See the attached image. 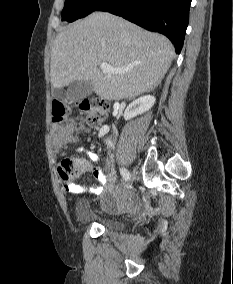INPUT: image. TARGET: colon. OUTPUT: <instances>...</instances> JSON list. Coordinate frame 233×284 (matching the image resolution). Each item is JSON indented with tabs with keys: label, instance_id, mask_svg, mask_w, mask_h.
I'll return each mask as SVG.
<instances>
[{
	"label": "colon",
	"instance_id": "colon-1",
	"mask_svg": "<svg viewBox=\"0 0 233 284\" xmlns=\"http://www.w3.org/2000/svg\"><path fill=\"white\" fill-rule=\"evenodd\" d=\"M78 108L85 116V122L91 127L99 126L107 117L108 104L98 98H86L80 100ZM53 121L62 123L69 115V108L60 100H54L52 104ZM70 141H75L76 136L70 135ZM59 173L63 182L70 183V180L79 173L74 161L70 158H63L59 163Z\"/></svg>",
	"mask_w": 233,
	"mask_h": 284
}]
</instances>
